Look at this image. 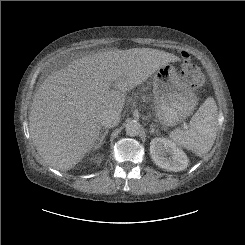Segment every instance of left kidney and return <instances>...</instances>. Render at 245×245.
<instances>
[{"label":"left kidney","mask_w":245,"mask_h":245,"mask_svg":"<svg viewBox=\"0 0 245 245\" xmlns=\"http://www.w3.org/2000/svg\"><path fill=\"white\" fill-rule=\"evenodd\" d=\"M150 154L154 163L167 171H182L188 166L187 155L166 138L152 139Z\"/></svg>","instance_id":"5707ae66"}]
</instances>
